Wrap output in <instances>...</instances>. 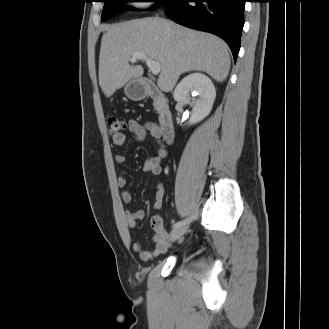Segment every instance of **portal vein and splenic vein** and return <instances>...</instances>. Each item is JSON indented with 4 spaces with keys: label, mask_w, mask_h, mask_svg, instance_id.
I'll return each instance as SVG.
<instances>
[{
    "label": "portal vein and splenic vein",
    "mask_w": 329,
    "mask_h": 329,
    "mask_svg": "<svg viewBox=\"0 0 329 329\" xmlns=\"http://www.w3.org/2000/svg\"><path fill=\"white\" fill-rule=\"evenodd\" d=\"M129 60L132 63H135L138 60L145 61L146 65L148 66L149 70L152 72L153 75H158L160 73V63L148 58L143 53H134Z\"/></svg>",
    "instance_id": "portal-vein-and-splenic-vein-1"
}]
</instances>
